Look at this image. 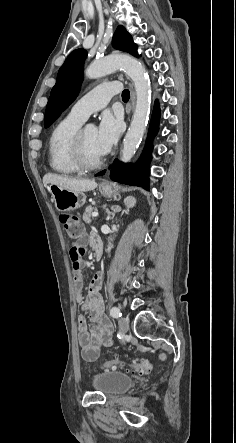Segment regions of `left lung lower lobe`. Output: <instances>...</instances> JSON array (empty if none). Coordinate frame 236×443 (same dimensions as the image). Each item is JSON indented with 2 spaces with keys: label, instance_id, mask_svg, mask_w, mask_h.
<instances>
[{
  "label": "left lung lower lobe",
  "instance_id": "left-lung-lower-lobe-1",
  "mask_svg": "<svg viewBox=\"0 0 236 443\" xmlns=\"http://www.w3.org/2000/svg\"><path fill=\"white\" fill-rule=\"evenodd\" d=\"M159 117V106L156 102L150 122L146 146L139 161L134 166H131L115 160L111 166V179L113 181L128 185L141 186L145 189H149L148 176L149 163L151 161L152 139L158 131ZM98 175H101V173L97 174V176Z\"/></svg>",
  "mask_w": 236,
  "mask_h": 443
}]
</instances>
